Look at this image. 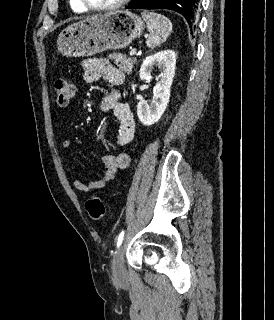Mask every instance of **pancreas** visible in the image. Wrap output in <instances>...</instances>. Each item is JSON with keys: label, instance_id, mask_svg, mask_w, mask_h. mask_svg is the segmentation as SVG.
<instances>
[{"label": "pancreas", "instance_id": "obj_1", "mask_svg": "<svg viewBox=\"0 0 274 320\" xmlns=\"http://www.w3.org/2000/svg\"><path fill=\"white\" fill-rule=\"evenodd\" d=\"M109 58L111 60H115V64L121 72H126V74H130L132 72V68H134V64H136V58H127V56H123V54H109Z\"/></svg>", "mask_w": 274, "mask_h": 320}]
</instances>
